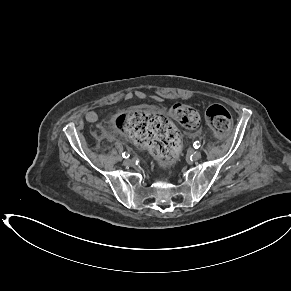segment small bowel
Here are the masks:
<instances>
[{"label": "small bowel", "mask_w": 291, "mask_h": 291, "mask_svg": "<svg viewBox=\"0 0 291 291\" xmlns=\"http://www.w3.org/2000/svg\"><path fill=\"white\" fill-rule=\"evenodd\" d=\"M139 93H140V91L135 90V91H133V96H134V97H139ZM85 117H86V120H87L88 122H91V123H97V122H98V116H97V114H96L95 112H93V111H88V112L86 113V116H85ZM94 136H95V138L98 139V140H101V139L103 138L102 135L94 134Z\"/></svg>", "instance_id": "small-bowel-1"}]
</instances>
